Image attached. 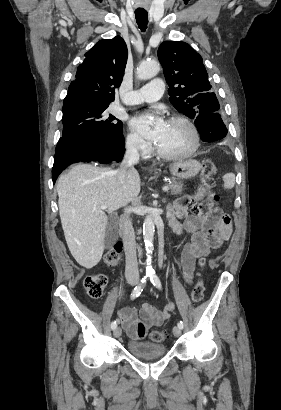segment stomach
Returning <instances> with one entry per match:
<instances>
[{"instance_id":"1","label":"stomach","mask_w":281,"mask_h":410,"mask_svg":"<svg viewBox=\"0 0 281 410\" xmlns=\"http://www.w3.org/2000/svg\"><path fill=\"white\" fill-rule=\"evenodd\" d=\"M201 169V164L194 159L174 162L169 166L171 174L177 178L189 179L196 176Z\"/></svg>"}]
</instances>
